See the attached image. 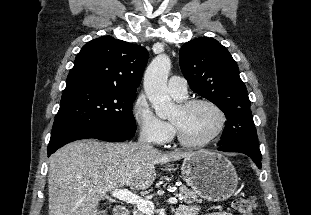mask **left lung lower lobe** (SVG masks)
I'll use <instances>...</instances> for the list:
<instances>
[{"label": "left lung lower lobe", "instance_id": "obj_1", "mask_svg": "<svg viewBox=\"0 0 311 215\" xmlns=\"http://www.w3.org/2000/svg\"><path fill=\"white\" fill-rule=\"evenodd\" d=\"M219 151L240 152L248 155L254 163L261 168V152L258 146L246 143H229L218 148Z\"/></svg>", "mask_w": 311, "mask_h": 215}]
</instances>
